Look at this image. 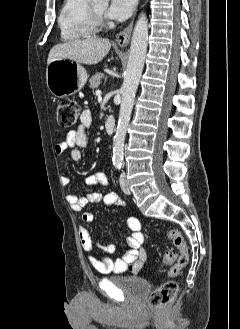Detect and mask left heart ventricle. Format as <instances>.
Wrapping results in <instances>:
<instances>
[{
    "mask_svg": "<svg viewBox=\"0 0 240 329\" xmlns=\"http://www.w3.org/2000/svg\"><path fill=\"white\" fill-rule=\"evenodd\" d=\"M94 7L96 8V10L100 13H104L106 5L104 3H96L94 4Z\"/></svg>",
    "mask_w": 240,
    "mask_h": 329,
    "instance_id": "left-heart-ventricle-1",
    "label": "left heart ventricle"
}]
</instances>
